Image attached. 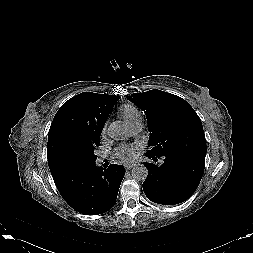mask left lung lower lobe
I'll return each instance as SVG.
<instances>
[{
  "label": "left lung lower lobe",
  "mask_w": 253,
  "mask_h": 253,
  "mask_svg": "<svg viewBox=\"0 0 253 253\" xmlns=\"http://www.w3.org/2000/svg\"><path fill=\"white\" fill-rule=\"evenodd\" d=\"M161 165L146 163L148 176L143 182V190L149 200L162 205H175L186 201L197 189L204 173L206 152L182 149L163 155L146 153Z\"/></svg>",
  "instance_id": "obj_1"
}]
</instances>
